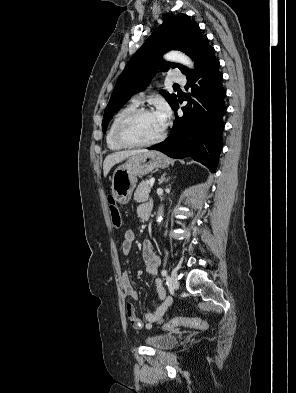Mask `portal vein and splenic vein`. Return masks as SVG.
Segmentation results:
<instances>
[{"label":"portal vein and splenic vein","mask_w":296,"mask_h":393,"mask_svg":"<svg viewBox=\"0 0 296 393\" xmlns=\"http://www.w3.org/2000/svg\"><path fill=\"white\" fill-rule=\"evenodd\" d=\"M154 182H155V178L150 179V181H149L150 187L153 186Z\"/></svg>","instance_id":"obj_1"}]
</instances>
